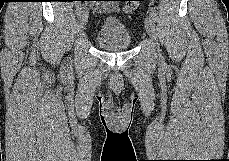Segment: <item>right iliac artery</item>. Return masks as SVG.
I'll return each mask as SVG.
<instances>
[{
    "instance_id": "1",
    "label": "right iliac artery",
    "mask_w": 229,
    "mask_h": 161,
    "mask_svg": "<svg viewBox=\"0 0 229 161\" xmlns=\"http://www.w3.org/2000/svg\"><path fill=\"white\" fill-rule=\"evenodd\" d=\"M81 9H82V8H81V4H78V5H77V13L80 12Z\"/></svg>"
}]
</instances>
